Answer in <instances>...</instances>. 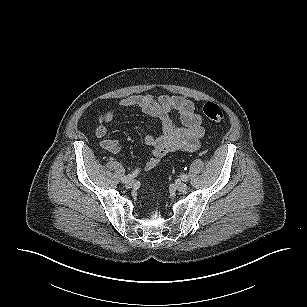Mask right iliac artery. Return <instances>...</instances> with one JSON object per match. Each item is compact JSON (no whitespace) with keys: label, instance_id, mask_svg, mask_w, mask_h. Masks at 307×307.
<instances>
[{"label":"right iliac artery","instance_id":"obj_1","mask_svg":"<svg viewBox=\"0 0 307 307\" xmlns=\"http://www.w3.org/2000/svg\"><path fill=\"white\" fill-rule=\"evenodd\" d=\"M139 173V170H135L134 172H132L131 174L124 176L121 178V181L123 183H128L131 179L135 178Z\"/></svg>","mask_w":307,"mask_h":307}]
</instances>
